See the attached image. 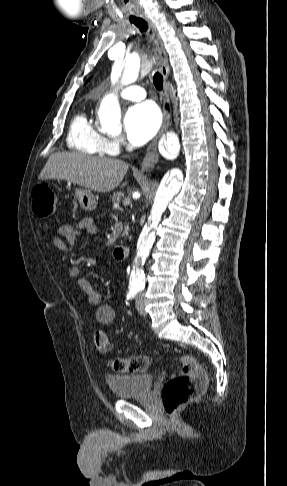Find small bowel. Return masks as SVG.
Wrapping results in <instances>:
<instances>
[{
	"label": "small bowel",
	"mask_w": 287,
	"mask_h": 486,
	"mask_svg": "<svg viewBox=\"0 0 287 486\" xmlns=\"http://www.w3.org/2000/svg\"><path fill=\"white\" fill-rule=\"evenodd\" d=\"M97 232L98 227L94 219L88 216L82 218L77 224L59 226L55 230L52 242L58 250L69 252L72 250L76 239L80 235L83 233L95 235ZM69 276L86 293L89 302L95 306V318L97 322L103 325L110 324L115 318L114 309L110 305L103 303L101 294L82 275L81 270L78 267H72L69 270Z\"/></svg>",
	"instance_id": "obj_1"
}]
</instances>
